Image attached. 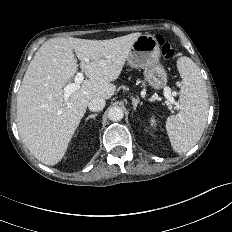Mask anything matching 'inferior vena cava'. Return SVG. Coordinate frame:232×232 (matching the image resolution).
I'll return each instance as SVG.
<instances>
[{"label":"inferior vena cava","mask_w":232,"mask_h":232,"mask_svg":"<svg viewBox=\"0 0 232 232\" xmlns=\"http://www.w3.org/2000/svg\"><path fill=\"white\" fill-rule=\"evenodd\" d=\"M104 107H105V99L101 97L93 98L88 104L89 110L94 112L101 111Z\"/></svg>","instance_id":"602c4592"}]
</instances>
